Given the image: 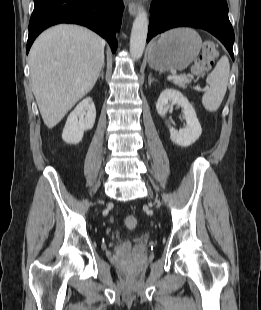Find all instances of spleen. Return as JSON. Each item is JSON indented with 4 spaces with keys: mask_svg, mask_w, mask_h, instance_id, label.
I'll return each instance as SVG.
<instances>
[{
    "mask_svg": "<svg viewBox=\"0 0 261 310\" xmlns=\"http://www.w3.org/2000/svg\"><path fill=\"white\" fill-rule=\"evenodd\" d=\"M229 72V60L226 56H223L207 76L208 88L202 96V104L207 111L214 112L220 107L227 91Z\"/></svg>",
    "mask_w": 261,
    "mask_h": 310,
    "instance_id": "1",
    "label": "spleen"
}]
</instances>
